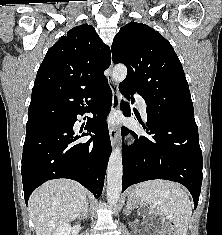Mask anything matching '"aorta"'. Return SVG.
Wrapping results in <instances>:
<instances>
[{"instance_id": "obj_1", "label": "aorta", "mask_w": 222, "mask_h": 235, "mask_svg": "<svg viewBox=\"0 0 222 235\" xmlns=\"http://www.w3.org/2000/svg\"><path fill=\"white\" fill-rule=\"evenodd\" d=\"M127 76V68L123 64H117L112 71V79L116 83L125 80ZM122 153L120 148L113 149L107 167V202L110 205H115L122 190Z\"/></svg>"}]
</instances>
